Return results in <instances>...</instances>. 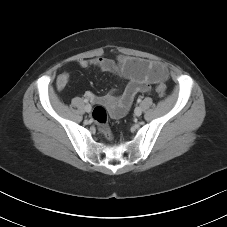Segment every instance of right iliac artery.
I'll use <instances>...</instances> for the list:
<instances>
[{
  "label": "right iliac artery",
  "instance_id": "1",
  "mask_svg": "<svg viewBox=\"0 0 227 227\" xmlns=\"http://www.w3.org/2000/svg\"><path fill=\"white\" fill-rule=\"evenodd\" d=\"M84 102H85V103H88V100H87V99H84Z\"/></svg>",
  "mask_w": 227,
  "mask_h": 227
}]
</instances>
